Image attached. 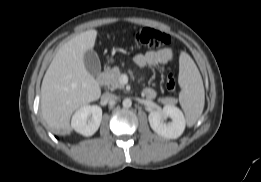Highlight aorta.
<instances>
[{
  "label": "aorta",
  "mask_w": 261,
  "mask_h": 182,
  "mask_svg": "<svg viewBox=\"0 0 261 182\" xmlns=\"http://www.w3.org/2000/svg\"><path fill=\"white\" fill-rule=\"evenodd\" d=\"M123 107L129 108L132 105V101L130 98H125L122 102Z\"/></svg>",
  "instance_id": "aorta-1"
}]
</instances>
